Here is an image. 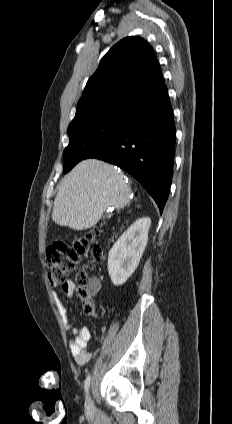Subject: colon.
Returning a JSON list of instances; mask_svg holds the SVG:
<instances>
[{
	"mask_svg": "<svg viewBox=\"0 0 232 424\" xmlns=\"http://www.w3.org/2000/svg\"><path fill=\"white\" fill-rule=\"evenodd\" d=\"M100 235L99 229H94L91 234L75 239L72 243L57 242L46 249L45 262L49 269V281L53 284H63L68 275L74 271L79 260L85 256L93 244L95 237ZM95 259L101 258V251L93 249ZM79 296L86 314L95 313L93 301L94 280H91L85 271L77 275Z\"/></svg>",
	"mask_w": 232,
	"mask_h": 424,
	"instance_id": "5ec220e1",
	"label": "colon"
}]
</instances>
